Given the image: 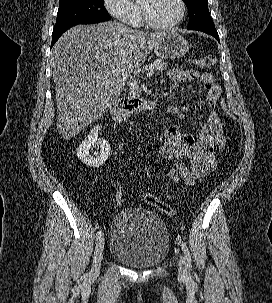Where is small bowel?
I'll list each match as a JSON object with an SVG mask.
<instances>
[{
  "label": "small bowel",
  "instance_id": "c3829d8e",
  "mask_svg": "<svg viewBox=\"0 0 272 303\" xmlns=\"http://www.w3.org/2000/svg\"><path fill=\"white\" fill-rule=\"evenodd\" d=\"M168 75L175 84L195 80L201 83L205 88V103L210 109L198 122L196 132L186 131L179 126L167 128L159 147L163 158L175 162L169 171L170 179L178 185L194 186L216 170L217 154L226 142L221 117L215 109L221 89L208 73L173 68ZM192 109L195 110V105Z\"/></svg>",
  "mask_w": 272,
  "mask_h": 303
}]
</instances>
